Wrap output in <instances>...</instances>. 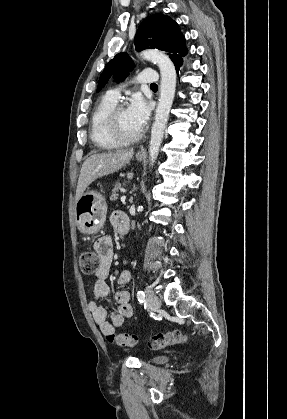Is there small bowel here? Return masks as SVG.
<instances>
[{"label": "small bowel", "mask_w": 287, "mask_h": 419, "mask_svg": "<svg viewBox=\"0 0 287 419\" xmlns=\"http://www.w3.org/2000/svg\"><path fill=\"white\" fill-rule=\"evenodd\" d=\"M111 223L115 230L119 231L124 225L129 226L128 217L120 211H117L111 216ZM94 250L100 257V266L96 272V281L93 287V294L96 300L108 298L110 289L106 283V278L109 274L110 266L113 259V243L110 236H102L94 243ZM131 272L128 270L122 271L118 277V283L124 285L130 282ZM115 301L117 303V310L110 316V321L107 319V312L104 307L99 305L96 301L89 303V310L98 325L100 331L104 335L112 334L115 329L122 326L124 320L133 315V307L130 304V294L125 290L116 292Z\"/></svg>", "instance_id": "obj_1"}]
</instances>
